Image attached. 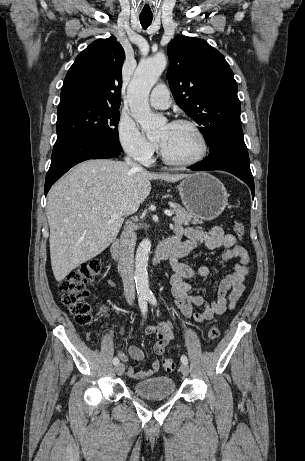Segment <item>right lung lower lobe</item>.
Here are the masks:
<instances>
[{
    "label": "right lung lower lobe",
    "instance_id": "98d812e1",
    "mask_svg": "<svg viewBox=\"0 0 305 461\" xmlns=\"http://www.w3.org/2000/svg\"><path fill=\"white\" fill-rule=\"evenodd\" d=\"M122 150L95 139H77L55 143L51 165L45 180V195L71 167L89 159L113 158Z\"/></svg>",
    "mask_w": 305,
    "mask_h": 461
}]
</instances>
